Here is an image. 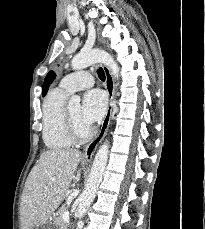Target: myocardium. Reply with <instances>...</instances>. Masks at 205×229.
<instances>
[{"instance_id":"1","label":"myocardium","mask_w":205,"mask_h":229,"mask_svg":"<svg viewBox=\"0 0 205 229\" xmlns=\"http://www.w3.org/2000/svg\"><path fill=\"white\" fill-rule=\"evenodd\" d=\"M64 124L68 137L75 143L86 142L94 132L92 127H89L85 132L80 131L70 113L69 107H65L64 110Z\"/></svg>"}]
</instances>
